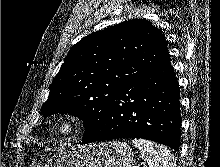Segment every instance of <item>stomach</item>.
Here are the masks:
<instances>
[{
	"label": "stomach",
	"instance_id": "stomach-1",
	"mask_svg": "<svg viewBox=\"0 0 220 167\" xmlns=\"http://www.w3.org/2000/svg\"><path fill=\"white\" fill-rule=\"evenodd\" d=\"M133 161L134 154L127 143L111 141L60 153L45 167H133Z\"/></svg>",
	"mask_w": 220,
	"mask_h": 167
}]
</instances>
